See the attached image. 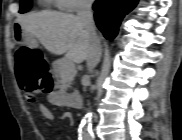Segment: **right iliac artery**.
Segmentation results:
<instances>
[{"label":"right iliac artery","instance_id":"right-iliac-artery-1","mask_svg":"<svg viewBox=\"0 0 182 140\" xmlns=\"http://www.w3.org/2000/svg\"><path fill=\"white\" fill-rule=\"evenodd\" d=\"M94 139V136H91L89 138H87L86 140H93Z\"/></svg>","mask_w":182,"mask_h":140}]
</instances>
